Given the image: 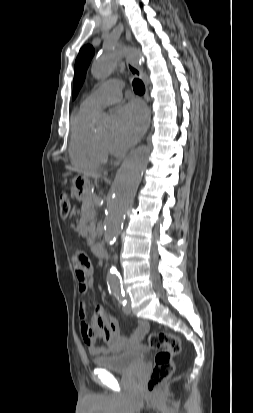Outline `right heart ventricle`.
I'll return each mask as SVG.
<instances>
[{
    "instance_id": "1",
    "label": "right heart ventricle",
    "mask_w": 253,
    "mask_h": 413,
    "mask_svg": "<svg viewBox=\"0 0 253 413\" xmlns=\"http://www.w3.org/2000/svg\"><path fill=\"white\" fill-rule=\"evenodd\" d=\"M95 115V111L81 106L71 118L69 155L75 165L85 168H99L107 160L104 142L91 131Z\"/></svg>"
}]
</instances>
